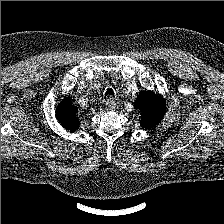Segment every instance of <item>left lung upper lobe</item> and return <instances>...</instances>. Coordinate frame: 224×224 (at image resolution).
<instances>
[{"label": "left lung upper lobe", "instance_id": "5c2ea615", "mask_svg": "<svg viewBox=\"0 0 224 224\" xmlns=\"http://www.w3.org/2000/svg\"><path fill=\"white\" fill-rule=\"evenodd\" d=\"M134 108L141 113L140 125L143 129H153L158 125L166 110L163 98L151 91L141 92L134 103Z\"/></svg>", "mask_w": 224, "mask_h": 224}]
</instances>
